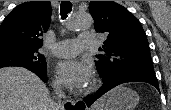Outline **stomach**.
<instances>
[{
    "instance_id": "0dacf381",
    "label": "stomach",
    "mask_w": 171,
    "mask_h": 110,
    "mask_svg": "<svg viewBox=\"0 0 171 110\" xmlns=\"http://www.w3.org/2000/svg\"><path fill=\"white\" fill-rule=\"evenodd\" d=\"M100 100H102V106L99 110H135L139 96L132 89L119 86Z\"/></svg>"
}]
</instances>
